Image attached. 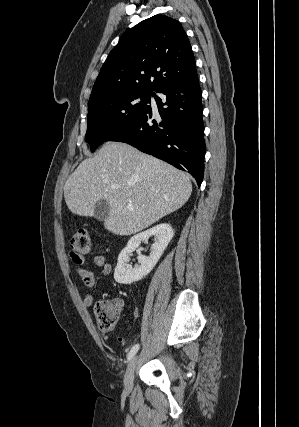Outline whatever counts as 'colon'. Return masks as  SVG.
Returning <instances> with one entry per match:
<instances>
[{"mask_svg": "<svg viewBox=\"0 0 299 427\" xmlns=\"http://www.w3.org/2000/svg\"><path fill=\"white\" fill-rule=\"evenodd\" d=\"M91 253L90 234L86 229H79L70 240V256L75 261H82ZM94 315L98 329L105 334L113 332L119 318V309L107 300H100L94 305Z\"/></svg>", "mask_w": 299, "mask_h": 427, "instance_id": "colon-1", "label": "colon"}]
</instances>
